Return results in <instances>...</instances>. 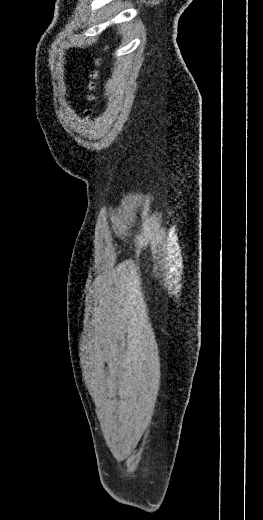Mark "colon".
<instances>
[{
	"label": "colon",
	"instance_id": "obj_1",
	"mask_svg": "<svg viewBox=\"0 0 263 520\" xmlns=\"http://www.w3.org/2000/svg\"><path fill=\"white\" fill-rule=\"evenodd\" d=\"M96 65L99 66L100 65V61H96ZM90 82H89V90L90 91H93L94 88H95V81L97 80L98 78V70L97 69H94L90 72ZM87 99L89 102H91L93 100V95L90 93L88 96H87Z\"/></svg>",
	"mask_w": 263,
	"mask_h": 520
}]
</instances>
